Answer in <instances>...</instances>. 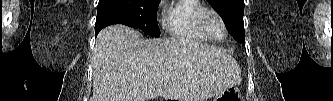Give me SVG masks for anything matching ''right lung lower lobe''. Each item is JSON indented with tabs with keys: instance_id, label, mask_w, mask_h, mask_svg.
<instances>
[{
	"instance_id": "obj_1",
	"label": "right lung lower lobe",
	"mask_w": 333,
	"mask_h": 101,
	"mask_svg": "<svg viewBox=\"0 0 333 101\" xmlns=\"http://www.w3.org/2000/svg\"><path fill=\"white\" fill-rule=\"evenodd\" d=\"M112 24H124L132 27L131 19L127 13L114 1L106 0V2L98 4L95 24L96 36L101 29Z\"/></svg>"
}]
</instances>
